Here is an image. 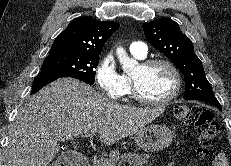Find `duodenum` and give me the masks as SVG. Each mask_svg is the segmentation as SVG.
I'll use <instances>...</instances> for the list:
<instances>
[{
  "label": "duodenum",
  "instance_id": "410a0bca",
  "mask_svg": "<svg viewBox=\"0 0 231 166\" xmlns=\"http://www.w3.org/2000/svg\"><path fill=\"white\" fill-rule=\"evenodd\" d=\"M90 157L82 152H67L63 158V166H89Z\"/></svg>",
  "mask_w": 231,
  "mask_h": 166
}]
</instances>
